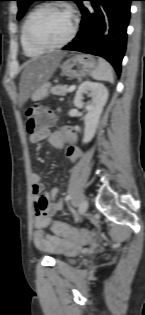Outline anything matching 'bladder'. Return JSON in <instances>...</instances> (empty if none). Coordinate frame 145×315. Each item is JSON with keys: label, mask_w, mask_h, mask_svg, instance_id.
<instances>
[{"label": "bladder", "mask_w": 145, "mask_h": 315, "mask_svg": "<svg viewBox=\"0 0 145 315\" xmlns=\"http://www.w3.org/2000/svg\"><path fill=\"white\" fill-rule=\"evenodd\" d=\"M78 254V251L75 250V251H72V252H69L67 254H65V258L66 260L68 261H73L74 260V257Z\"/></svg>", "instance_id": "bladder-1"}]
</instances>
